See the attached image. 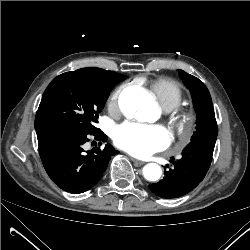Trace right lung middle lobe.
I'll return each mask as SVG.
<instances>
[{"mask_svg": "<svg viewBox=\"0 0 250 250\" xmlns=\"http://www.w3.org/2000/svg\"><path fill=\"white\" fill-rule=\"evenodd\" d=\"M127 77L116 72H66L45 90L35 118L41 126L78 128L91 133L110 91Z\"/></svg>", "mask_w": 250, "mask_h": 250, "instance_id": "dd1d6c3e", "label": "right lung middle lobe"}]
</instances>
